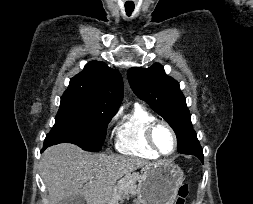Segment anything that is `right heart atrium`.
Masks as SVG:
<instances>
[{"label":"right heart atrium","mask_w":253,"mask_h":204,"mask_svg":"<svg viewBox=\"0 0 253 204\" xmlns=\"http://www.w3.org/2000/svg\"><path fill=\"white\" fill-rule=\"evenodd\" d=\"M115 120H116V116H113V117L109 120L108 125H107V128H108V129H110V128L113 126Z\"/></svg>","instance_id":"1"}]
</instances>
